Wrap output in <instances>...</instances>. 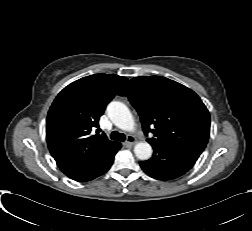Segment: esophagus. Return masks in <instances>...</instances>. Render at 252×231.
Returning a JSON list of instances; mask_svg holds the SVG:
<instances>
[{
    "instance_id": "1",
    "label": "esophagus",
    "mask_w": 252,
    "mask_h": 231,
    "mask_svg": "<svg viewBox=\"0 0 252 231\" xmlns=\"http://www.w3.org/2000/svg\"><path fill=\"white\" fill-rule=\"evenodd\" d=\"M135 142H136L135 137L132 136V135H129V136H127V140L125 141V144L129 145V146H132V145L135 144Z\"/></svg>"
}]
</instances>
